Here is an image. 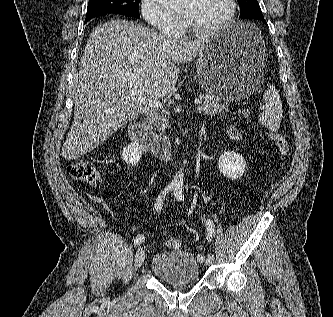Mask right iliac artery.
<instances>
[{
	"instance_id": "1",
	"label": "right iliac artery",
	"mask_w": 333,
	"mask_h": 317,
	"mask_svg": "<svg viewBox=\"0 0 333 317\" xmlns=\"http://www.w3.org/2000/svg\"><path fill=\"white\" fill-rule=\"evenodd\" d=\"M174 189V185H169L167 186L162 192L161 194L158 196L154 207L156 209L157 212L160 213L161 209H162V205H163V198L165 197V195L167 193H169L170 191H172ZM145 237L144 235H137L134 239V244L135 245H140L143 241H144Z\"/></svg>"
}]
</instances>
